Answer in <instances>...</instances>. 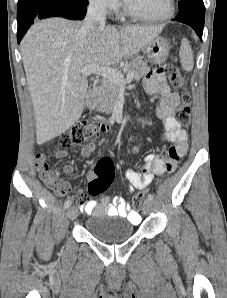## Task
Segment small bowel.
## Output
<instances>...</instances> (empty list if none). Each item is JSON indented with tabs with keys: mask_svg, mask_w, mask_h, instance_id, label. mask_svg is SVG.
I'll return each mask as SVG.
<instances>
[{
	"mask_svg": "<svg viewBox=\"0 0 227 298\" xmlns=\"http://www.w3.org/2000/svg\"><path fill=\"white\" fill-rule=\"evenodd\" d=\"M157 68H171V63H157ZM167 72L164 69H155L149 73L144 80V88L148 95L161 96V100L156 107L155 114L161 120L163 126L162 138L173 144L167 157L159 154L150 153L145 156L141 172L133 169H127L125 177L129 183L130 191L135 189L143 190L152 182L154 176H162L166 172H171L178 166V162L187 154L188 134L182 125L176 120L175 113L180 107V97L171 92L166 87L165 78ZM95 144L88 142L80 149L81 156L88 158L95 150ZM65 149L57 150L54 153L56 158L67 156ZM34 162L37 171L44 182L49 184L60 195H71L80 207V210L88 216H98L105 214L107 216H120L127 218L131 222H139L140 215L131 210L130 205L119 196H116L112 202L104 197L101 202L96 200H86L80 192H74L70 184L59 177L71 174L74 171L72 164H67L59 169L50 170L47 164V156L38 153L34 156ZM94 176L92 171L87 173L88 179Z\"/></svg>",
	"mask_w": 227,
	"mask_h": 298,
	"instance_id": "obj_1",
	"label": "small bowel"
}]
</instances>
